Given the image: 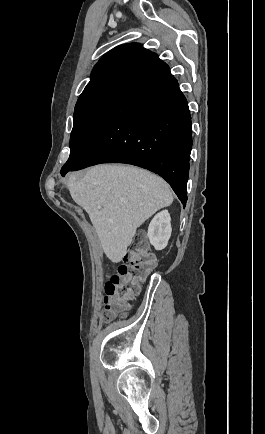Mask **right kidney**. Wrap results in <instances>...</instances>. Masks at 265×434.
Masks as SVG:
<instances>
[{
  "label": "right kidney",
  "mask_w": 265,
  "mask_h": 434,
  "mask_svg": "<svg viewBox=\"0 0 265 434\" xmlns=\"http://www.w3.org/2000/svg\"><path fill=\"white\" fill-rule=\"evenodd\" d=\"M171 218L168 210H163L154 216L148 228V238L155 250H164L171 236Z\"/></svg>",
  "instance_id": "obj_1"
}]
</instances>
